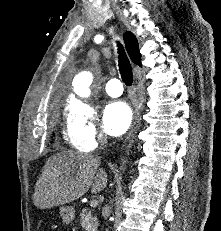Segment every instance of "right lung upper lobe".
<instances>
[{
  "mask_svg": "<svg viewBox=\"0 0 221 231\" xmlns=\"http://www.w3.org/2000/svg\"><path fill=\"white\" fill-rule=\"evenodd\" d=\"M123 39L131 60L135 64L141 66V54L139 52V45L135 35L131 32H126Z\"/></svg>",
  "mask_w": 221,
  "mask_h": 231,
  "instance_id": "1",
  "label": "right lung upper lobe"
}]
</instances>
